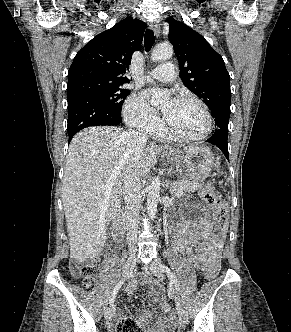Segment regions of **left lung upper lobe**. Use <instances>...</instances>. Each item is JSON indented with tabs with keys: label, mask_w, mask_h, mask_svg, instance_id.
I'll list each match as a JSON object with an SVG mask.
<instances>
[{
	"label": "left lung upper lobe",
	"mask_w": 291,
	"mask_h": 332,
	"mask_svg": "<svg viewBox=\"0 0 291 332\" xmlns=\"http://www.w3.org/2000/svg\"><path fill=\"white\" fill-rule=\"evenodd\" d=\"M169 41L173 45L183 84L214 113L230 105V76L223 58L199 33L170 17Z\"/></svg>",
	"instance_id": "left-lung-upper-lobe-1"
}]
</instances>
